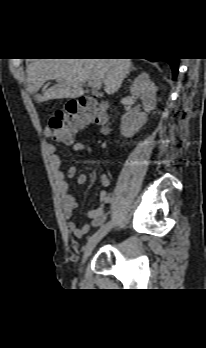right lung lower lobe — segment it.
<instances>
[{
    "label": "right lung lower lobe",
    "mask_w": 206,
    "mask_h": 348,
    "mask_svg": "<svg viewBox=\"0 0 206 348\" xmlns=\"http://www.w3.org/2000/svg\"><path fill=\"white\" fill-rule=\"evenodd\" d=\"M166 60L173 71V79H176L177 73H178V63H179V59L178 58H168V59H163ZM151 61H157V60H151Z\"/></svg>",
    "instance_id": "obj_1"
}]
</instances>
